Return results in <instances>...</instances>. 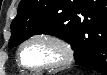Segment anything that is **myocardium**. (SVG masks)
<instances>
[{
  "label": "myocardium",
  "mask_w": 107,
  "mask_h": 75,
  "mask_svg": "<svg viewBox=\"0 0 107 75\" xmlns=\"http://www.w3.org/2000/svg\"><path fill=\"white\" fill-rule=\"evenodd\" d=\"M38 40L46 41L52 44L53 46H55L60 51L61 58L57 62L48 65L37 66V67L27 65L22 59V51L26 45H28L33 41H38ZM17 57L20 65L28 70L48 71V70L59 69L70 64L74 59V50L71 43L64 37L51 32H38L30 35L20 44L17 52Z\"/></svg>",
  "instance_id": "1"
}]
</instances>
